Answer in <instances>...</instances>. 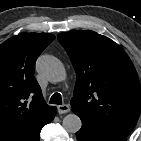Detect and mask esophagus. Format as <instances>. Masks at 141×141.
I'll return each mask as SVG.
<instances>
[{"mask_svg":"<svg viewBox=\"0 0 141 141\" xmlns=\"http://www.w3.org/2000/svg\"><path fill=\"white\" fill-rule=\"evenodd\" d=\"M57 110H58L59 114H65L70 111V107H69V105L63 104V105H59L57 107Z\"/></svg>","mask_w":141,"mask_h":141,"instance_id":"obj_1","label":"esophagus"}]
</instances>
